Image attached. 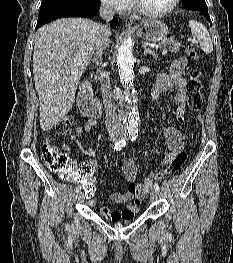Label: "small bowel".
I'll list each match as a JSON object with an SVG mask.
<instances>
[{"label": "small bowel", "mask_w": 233, "mask_h": 263, "mask_svg": "<svg viewBox=\"0 0 233 263\" xmlns=\"http://www.w3.org/2000/svg\"><path fill=\"white\" fill-rule=\"evenodd\" d=\"M186 65V58L179 57L175 59L171 64L169 73L160 72L157 75V81L151 92L152 99L157 101L162 94L175 90L173 106L176 119L180 123L184 121L185 104L187 101L186 80L183 77V71ZM94 125L95 121L90 120L85 125L76 127L75 132L67 137L66 142L62 145V149L65 152H70V143H75L83 153L92 155L93 150L87 145L85 138ZM164 135L169 152L164 157L161 165L169 164L177 154L183 152L187 138L186 133L179 131L175 127H168ZM121 166L124 178L129 183V186L126 191L111 193L110 199L115 203L127 204L125 209L111 210L106 206H97L96 202L91 198L92 195H85L89 198V204L95 207L96 212L112 222H117L121 219H131L137 213L142 199L151 189L153 182L149 179V176L143 182L137 181L138 168L132 159L124 158ZM96 169L97 164L95 161L86 160L79 165L76 171H96Z\"/></svg>", "instance_id": "obj_1"}]
</instances>
